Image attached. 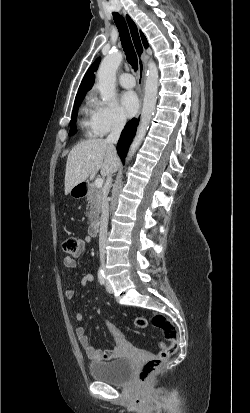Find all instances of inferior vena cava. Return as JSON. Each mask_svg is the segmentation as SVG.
Returning <instances> with one entry per match:
<instances>
[{"instance_id": "inferior-vena-cava-1", "label": "inferior vena cava", "mask_w": 250, "mask_h": 413, "mask_svg": "<svg viewBox=\"0 0 250 413\" xmlns=\"http://www.w3.org/2000/svg\"><path fill=\"white\" fill-rule=\"evenodd\" d=\"M126 124L125 117H119L106 138V143L116 151L115 144L118 142L121 131L123 130ZM112 182L111 175L107 179V190L104 194L103 201H102V214L100 219V233H99V248H100V260L101 263L104 265L105 262V245L107 241V229H108V219H109V204L107 200L108 190L110 188V184Z\"/></svg>"}]
</instances>
